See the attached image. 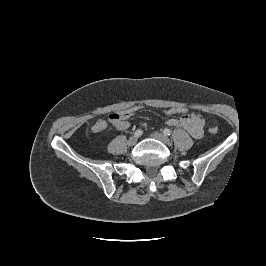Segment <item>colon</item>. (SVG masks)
<instances>
[{
  "mask_svg": "<svg viewBox=\"0 0 266 266\" xmlns=\"http://www.w3.org/2000/svg\"><path fill=\"white\" fill-rule=\"evenodd\" d=\"M141 109L140 106H133L129 109H126L124 111H119V112H113L109 115L108 119L110 123L113 125L119 123L122 120H126L130 117H132L135 113H137ZM187 108L183 106H173V107H168L164 109V113L166 115H186L187 114ZM209 132L212 134H215L218 132L217 127H210Z\"/></svg>",
  "mask_w": 266,
  "mask_h": 266,
  "instance_id": "colon-1",
  "label": "colon"
}]
</instances>
